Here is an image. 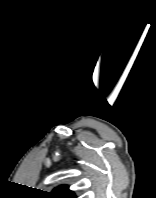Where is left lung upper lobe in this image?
Returning a JSON list of instances; mask_svg holds the SVG:
<instances>
[{
    "label": "left lung upper lobe",
    "mask_w": 156,
    "mask_h": 198,
    "mask_svg": "<svg viewBox=\"0 0 156 198\" xmlns=\"http://www.w3.org/2000/svg\"><path fill=\"white\" fill-rule=\"evenodd\" d=\"M47 196L49 198H76L75 194L67 186H60L52 192H48Z\"/></svg>",
    "instance_id": "5c2ea615"
}]
</instances>
